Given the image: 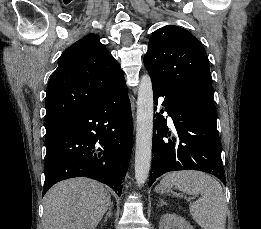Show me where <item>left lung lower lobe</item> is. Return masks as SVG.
<instances>
[{
    "mask_svg": "<svg viewBox=\"0 0 261 229\" xmlns=\"http://www.w3.org/2000/svg\"><path fill=\"white\" fill-rule=\"evenodd\" d=\"M152 86L156 105L158 98L165 96L162 105L171 116L176 133L172 136L167 120L160 113L157 114L149 187L166 172L187 169L208 172L225 184L213 97L198 90L168 87L155 80H152Z\"/></svg>",
    "mask_w": 261,
    "mask_h": 229,
    "instance_id": "left-lung-lower-lobe-1",
    "label": "left lung lower lobe"
}]
</instances>
